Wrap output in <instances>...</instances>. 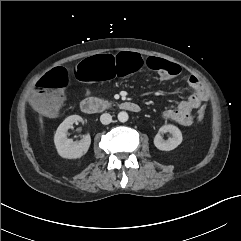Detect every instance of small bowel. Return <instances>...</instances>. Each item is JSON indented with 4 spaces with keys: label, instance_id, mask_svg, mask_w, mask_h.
I'll return each instance as SVG.
<instances>
[{
    "label": "small bowel",
    "instance_id": "c3829d8e",
    "mask_svg": "<svg viewBox=\"0 0 241 241\" xmlns=\"http://www.w3.org/2000/svg\"><path fill=\"white\" fill-rule=\"evenodd\" d=\"M187 81L194 92L186 99L180 101L176 108L167 109L163 112L165 119L175 121L182 126L192 125L193 117L191 112L199 108L207 100V91L197 77L190 76ZM89 95L90 93L87 91L86 96L88 97Z\"/></svg>",
    "mask_w": 241,
    "mask_h": 241
}]
</instances>
